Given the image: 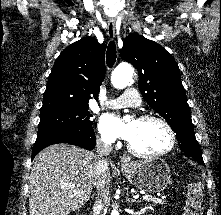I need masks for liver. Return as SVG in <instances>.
<instances>
[{
    "instance_id": "1",
    "label": "liver",
    "mask_w": 221,
    "mask_h": 215,
    "mask_svg": "<svg viewBox=\"0 0 221 215\" xmlns=\"http://www.w3.org/2000/svg\"><path fill=\"white\" fill-rule=\"evenodd\" d=\"M97 163L95 153L69 144L42 150L29 176V214L68 215L80 209L90 198Z\"/></svg>"
}]
</instances>
